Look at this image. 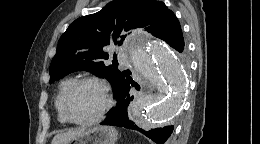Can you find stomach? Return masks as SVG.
<instances>
[{
  "label": "stomach",
  "mask_w": 260,
  "mask_h": 144,
  "mask_svg": "<svg viewBox=\"0 0 260 144\" xmlns=\"http://www.w3.org/2000/svg\"><path fill=\"white\" fill-rule=\"evenodd\" d=\"M117 131L112 126H94L84 130L68 144H115Z\"/></svg>",
  "instance_id": "0dacf381"
}]
</instances>
